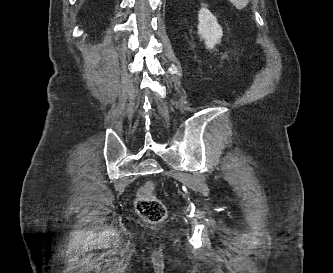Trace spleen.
<instances>
[{
    "label": "spleen",
    "mask_w": 333,
    "mask_h": 273,
    "mask_svg": "<svg viewBox=\"0 0 333 273\" xmlns=\"http://www.w3.org/2000/svg\"><path fill=\"white\" fill-rule=\"evenodd\" d=\"M237 9H243L249 0H229Z\"/></svg>",
    "instance_id": "spleen-1"
}]
</instances>
